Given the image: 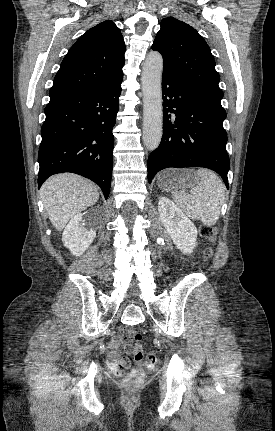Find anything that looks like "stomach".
Listing matches in <instances>:
<instances>
[{
    "label": "stomach",
    "mask_w": 275,
    "mask_h": 431,
    "mask_svg": "<svg viewBox=\"0 0 275 431\" xmlns=\"http://www.w3.org/2000/svg\"><path fill=\"white\" fill-rule=\"evenodd\" d=\"M199 178L192 170H166L157 178L158 186L163 190L184 191L193 188Z\"/></svg>",
    "instance_id": "1"
}]
</instances>
